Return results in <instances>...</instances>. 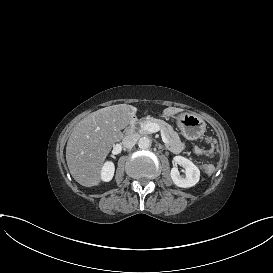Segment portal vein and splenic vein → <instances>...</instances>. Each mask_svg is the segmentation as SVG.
Listing matches in <instances>:
<instances>
[{"label":"portal vein and splenic vein","instance_id":"obj_1","mask_svg":"<svg viewBox=\"0 0 273 273\" xmlns=\"http://www.w3.org/2000/svg\"><path fill=\"white\" fill-rule=\"evenodd\" d=\"M144 130L148 131L149 133H156L160 130V127L156 123H147L144 125ZM161 138L164 143H167V139L163 131H161Z\"/></svg>","mask_w":273,"mask_h":273}]
</instances>
